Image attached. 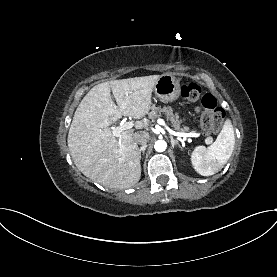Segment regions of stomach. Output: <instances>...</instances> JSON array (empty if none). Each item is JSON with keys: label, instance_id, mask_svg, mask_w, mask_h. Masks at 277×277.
I'll list each match as a JSON object with an SVG mask.
<instances>
[{"label": "stomach", "instance_id": "0dacf381", "mask_svg": "<svg viewBox=\"0 0 277 277\" xmlns=\"http://www.w3.org/2000/svg\"><path fill=\"white\" fill-rule=\"evenodd\" d=\"M155 95L163 102H172L180 96V82L171 74H163L154 86Z\"/></svg>", "mask_w": 277, "mask_h": 277}]
</instances>
